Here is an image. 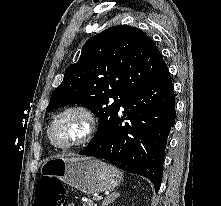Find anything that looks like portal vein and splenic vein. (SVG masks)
<instances>
[{
	"mask_svg": "<svg viewBox=\"0 0 221 206\" xmlns=\"http://www.w3.org/2000/svg\"><path fill=\"white\" fill-rule=\"evenodd\" d=\"M101 199H103V197H102V196H98L95 200H96V201H99V200H101Z\"/></svg>",
	"mask_w": 221,
	"mask_h": 206,
	"instance_id": "obj_1",
	"label": "portal vein and splenic vein"
}]
</instances>
